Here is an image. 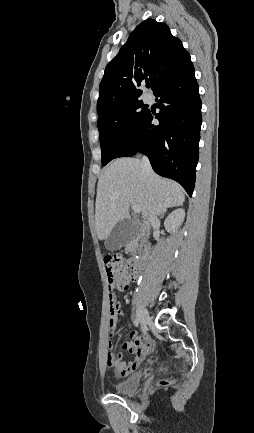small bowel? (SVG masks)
<instances>
[{
	"mask_svg": "<svg viewBox=\"0 0 254 433\" xmlns=\"http://www.w3.org/2000/svg\"><path fill=\"white\" fill-rule=\"evenodd\" d=\"M119 291H126L129 283L124 286H117ZM109 300L111 302L109 329L113 333L116 323L121 315V308L116 302L114 288L109 291ZM130 341L124 342L122 348L132 355V359L125 360L122 353H113V344H108L107 365L111 367L118 377H126L134 373L139 367L144 357L152 350L153 344L150 340L140 336L136 332L129 333Z\"/></svg>",
	"mask_w": 254,
	"mask_h": 433,
	"instance_id": "c3829d8e",
	"label": "small bowel"
}]
</instances>
